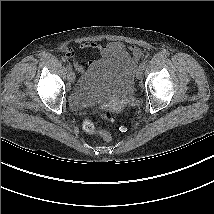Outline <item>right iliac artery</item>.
<instances>
[{
    "label": "right iliac artery",
    "instance_id": "82829eb1",
    "mask_svg": "<svg viewBox=\"0 0 214 214\" xmlns=\"http://www.w3.org/2000/svg\"><path fill=\"white\" fill-rule=\"evenodd\" d=\"M66 69H68V70H69V69H70V65H67Z\"/></svg>",
    "mask_w": 214,
    "mask_h": 214
}]
</instances>
